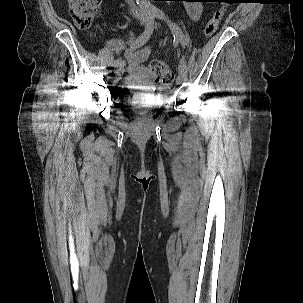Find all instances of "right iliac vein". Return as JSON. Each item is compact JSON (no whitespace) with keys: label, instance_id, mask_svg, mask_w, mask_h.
<instances>
[{"label":"right iliac vein","instance_id":"right-iliac-vein-1","mask_svg":"<svg viewBox=\"0 0 303 303\" xmlns=\"http://www.w3.org/2000/svg\"><path fill=\"white\" fill-rule=\"evenodd\" d=\"M142 23L145 24V22H142ZM124 71H125L124 66H120L115 72V75H116L115 77H119V76L123 75Z\"/></svg>","mask_w":303,"mask_h":303}]
</instances>
